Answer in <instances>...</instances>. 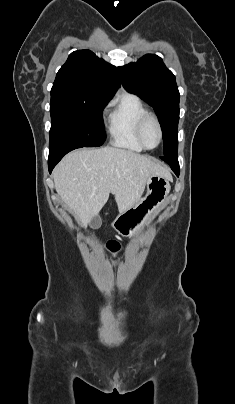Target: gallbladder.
Segmentation results:
<instances>
[{"label": "gallbladder", "mask_w": 235, "mask_h": 404, "mask_svg": "<svg viewBox=\"0 0 235 404\" xmlns=\"http://www.w3.org/2000/svg\"><path fill=\"white\" fill-rule=\"evenodd\" d=\"M101 224H102V221H101L100 216H98V215L93 216L91 218V220L89 221L90 227H92L94 229H98L101 226Z\"/></svg>", "instance_id": "1"}]
</instances>
